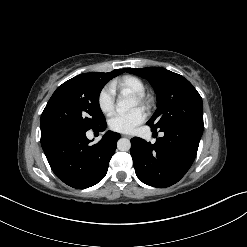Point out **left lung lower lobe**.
Listing matches in <instances>:
<instances>
[{"label":"left lung lower lobe","mask_w":247,"mask_h":247,"mask_svg":"<svg viewBox=\"0 0 247 247\" xmlns=\"http://www.w3.org/2000/svg\"><path fill=\"white\" fill-rule=\"evenodd\" d=\"M158 130L164 132V136L157 138L154 144L132 138L131 156L136 175L143 183L164 188L178 182L189 170L203 130L186 123Z\"/></svg>","instance_id":"1"}]
</instances>
